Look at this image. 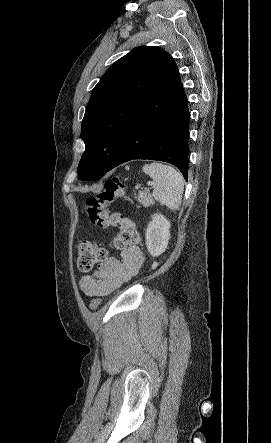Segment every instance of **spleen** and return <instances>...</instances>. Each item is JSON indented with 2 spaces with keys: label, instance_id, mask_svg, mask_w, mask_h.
<instances>
[{
  "label": "spleen",
  "instance_id": "3e777b00",
  "mask_svg": "<svg viewBox=\"0 0 271 443\" xmlns=\"http://www.w3.org/2000/svg\"><path fill=\"white\" fill-rule=\"evenodd\" d=\"M142 170L155 182L153 190L155 200L170 210H179L184 192L182 174H179L171 166H164V164H157V162L146 164Z\"/></svg>",
  "mask_w": 271,
  "mask_h": 443
}]
</instances>
